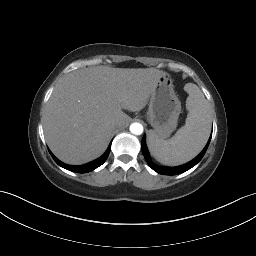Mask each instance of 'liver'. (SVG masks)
Masks as SVG:
<instances>
[{
	"label": "liver",
	"mask_w": 256,
	"mask_h": 256,
	"mask_svg": "<svg viewBox=\"0 0 256 256\" xmlns=\"http://www.w3.org/2000/svg\"><path fill=\"white\" fill-rule=\"evenodd\" d=\"M164 72L96 66L75 70L55 86L42 116L46 142L61 161L80 165L103 154L115 127L142 110Z\"/></svg>",
	"instance_id": "1"
}]
</instances>
